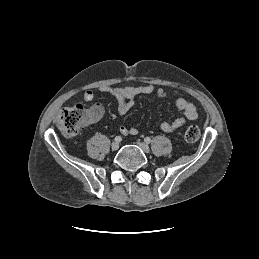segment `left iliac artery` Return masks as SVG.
I'll return each instance as SVG.
<instances>
[{"label": "left iliac artery", "mask_w": 259, "mask_h": 259, "mask_svg": "<svg viewBox=\"0 0 259 259\" xmlns=\"http://www.w3.org/2000/svg\"><path fill=\"white\" fill-rule=\"evenodd\" d=\"M144 141H145L147 144H149V143L151 142V139H150V137H146V138L144 139Z\"/></svg>", "instance_id": "1"}]
</instances>
